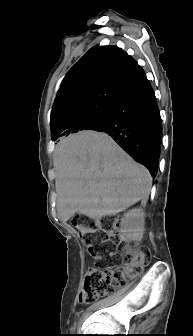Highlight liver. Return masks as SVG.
Listing matches in <instances>:
<instances>
[{"label": "liver", "mask_w": 193, "mask_h": 336, "mask_svg": "<svg viewBox=\"0 0 193 336\" xmlns=\"http://www.w3.org/2000/svg\"><path fill=\"white\" fill-rule=\"evenodd\" d=\"M53 162L57 214L64 223L75 213L96 219L148 199L152 185L148 169L105 133L70 135L56 147Z\"/></svg>", "instance_id": "6515ba94"}]
</instances>
